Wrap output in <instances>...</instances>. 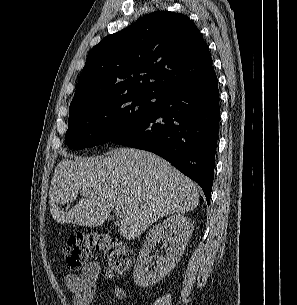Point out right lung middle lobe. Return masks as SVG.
Listing matches in <instances>:
<instances>
[{
    "mask_svg": "<svg viewBox=\"0 0 297 305\" xmlns=\"http://www.w3.org/2000/svg\"><path fill=\"white\" fill-rule=\"evenodd\" d=\"M157 97L154 92L132 91L73 107L69 110L66 144L80 150L109 142L148 116L157 106Z\"/></svg>",
    "mask_w": 297,
    "mask_h": 305,
    "instance_id": "dd1d6c3e",
    "label": "right lung middle lobe"
}]
</instances>
